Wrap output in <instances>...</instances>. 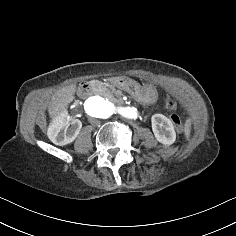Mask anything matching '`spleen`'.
<instances>
[{"label":"spleen","mask_w":236,"mask_h":236,"mask_svg":"<svg viewBox=\"0 0 236 236\" xmlns=\"http://www.w3.org/2000/svg\"><path fill=\"white\" fill-rule=\"evenodd\" d=\"M190 121H191V119L187 118L185 125L191 124ZM191 132H192V127L190 129H184V135H185L186 140H188L191 137Z\"/></svg>","instance_id":"obj_1"}]
</instances>
